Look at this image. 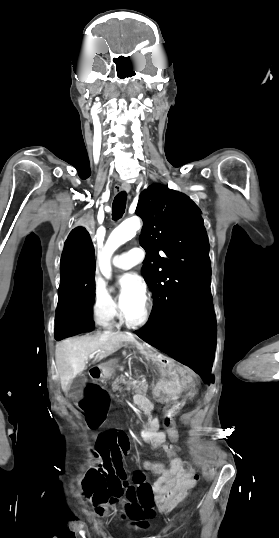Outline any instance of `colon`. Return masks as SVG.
<instances>
[{
  "instance_id": "1",
  "label": "colon",
  "mask_w": 279,
  "mask_h": 538,
  "mask_svg": "<svg viewBox=\"0 0 279 538\" xmlns=\"http://www.w3.org/2000/svg\"><path fill=\"white\" fill-rule=\"evenodd\" d=\"M129 449L128 436L122 430H108L96 441L95 451L100 456L101 463L99 469L89 475L87 486L93 494V502L99 513L104 512L110 496L120 497L123 494L130 502L132 515L150 516L154 513V485L146 481L142 472H136L128 478L123 468L122 457ZM178 474L185 481L197 479L194 467L187 459L179 458Z\"/></svg>"
}]
</instances>
